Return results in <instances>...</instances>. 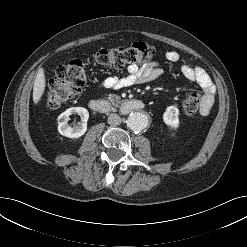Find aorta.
Instances as JSON below:
<instances>
[{"mask_svg": "<svg viewBox=\"0 0 247 247\" xmlns=\"http://www.w3.org/2000/svg\"><path fill=\"white\" fill-rule=\"evenodd\" d=\"M126 123L132 131L139 132L148 126V117L142 112H133L128 116Z\"/></svg>", "mask_w": 247, "mask_h": 247, "instance_id": "aorta-1", "label": "aorta"}]
</instances>
